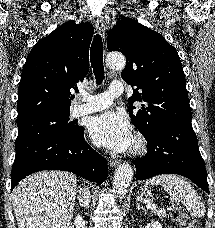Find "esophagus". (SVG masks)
<instances>
[{
  "mask_svg": "<svg viewBox=\"0 0 215 228\" xmlns=\"http://www.w3.org/2000/svg\"><path fill=\"white\" fill-rule=\"evenodd\" d=\"M95 27H96V31L98 32V34L102 37V39H104L106 26H105L104 19L102 17L96 18ZM118 163H119L118 160H113V161L109 162V165L111 167H115Z\"/></svg>",
  "mask_w": 215,
  "mask_h": 228,
  "instance_id": "esophagus-1",
  "label": "esophagus"
}]
</instances>
